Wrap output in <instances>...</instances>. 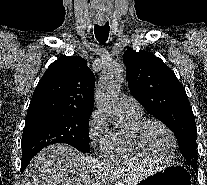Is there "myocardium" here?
Instances as JSON below:
<instances>
[{
  "label": "myocardium",
  "mask_w": 207,
  "mask_h": 185,
  "mask_svg": "<svg viewBox=\"0 0 207 185\" xmlns=\"http://www.w3.org/2000/svg\"><path fill=\"white\" fill-rule=\"evenodd\" d=\"M150 124H156L159 125L160 127H162L163 129H165L167 131V133L170 135L172 143H173V151L171 153V155L167 158V159H156L154 158L147 150L145 143H144V132L146 130V128L150 125ZM132 136L134 139V142L136 144V146L138 147L139 151L146 157L148 158L150 161L156 163V164H168L171 161L174 160L176 153H177V149H178V142H177V138L173 132V130L163 121L158 120V119H153V118H148V119H143L141 120L133 129L132 132Z\"/></svg>",
  "instance_id": "1"
}]
</instances>
